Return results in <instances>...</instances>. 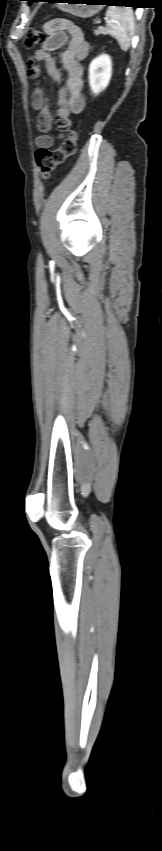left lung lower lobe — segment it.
Masks as SVG:
<instances>
[{"label":"left lung lower lobe","mask_w":162,"mask_h":851,"mask_svg":"<svg viewBox=\"0 0 162 851\" xmlns=\"http://www.w3.org/2000/svg\"><path fill=\"white\" fill-rule=\"evenodd\" d=\"M37 1H41V0H37ZM44 1L55 2L57 0H44ZM102 1H103V3H106L107 5H119V6H129V4H134V3L137 2L136 0H102Z\"/></svg>","instance_id":"0a47b994"}]
</instances>
